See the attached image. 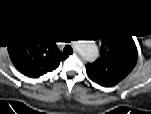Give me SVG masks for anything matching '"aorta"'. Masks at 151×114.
<instances>
[{"label": "aorta", "mask_w": 151, "mask_h": 114, "mask_svg": "<svg viewBox=\"0 0 151 114\" xmlns=\"http://www.w3.org/2000/svg\"><path fill=\"white\" fill-rule=\"evenodd\" d=\"M86 56H88V57H95L96 56V47H95V45H93V44L91 45V52L86 54Z\"/></svg>", "instance_id": "762f6f07"}]
</instances>
